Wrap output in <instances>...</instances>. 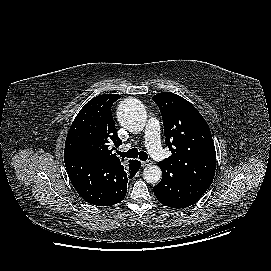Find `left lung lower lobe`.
I'll return each instance as SVG.
<instances>
[{
	"label": "left lung lower lobe",
	"mask_w": 271,
	"mask_h": 271,
	"mask_svg": "<svg viewBox=\"0 0 271 271\" xmlns=\"http://www.w3.org/2000/svg\"><path fill=\"white\" fill-rule=\"evenodd\" d=\"M161 168V167H160ZM163 176L154 186L158 201L171 208H185L196 203L208 187L178 171L161 168Z\"/></svg>",
	"instance_id": "left-lung-lower-lobe-1"
}]
</instances>
